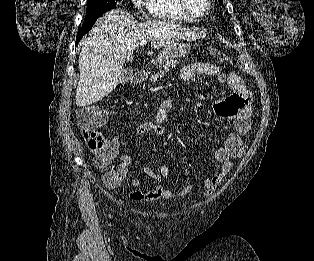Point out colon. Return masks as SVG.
Returning a JSON list of instances; mask_svg holds the SVG:
<instances>
[{"instance_id":"obj_1","label":"colon","mask_w":314,"mask_h":261,"mask_svg":"<svg viewBox=\"0 0 314 261\" xmlns=\"http://www.w3.org/2000/svg\"><path fill=\"white\" fill-rule=\"evenodd\" d=\"M210 54L220 63L230 64L231 62L228 55L217 48H211ZM75 115L88 149L96 156L99 166H106L108 158L115 151V146L100 131V127L104 122L102 109L95 105L83 106L76 110ZM121 180L118 173L107 172L104 175V181L108 185H117Z\"/></svg>"}]
</instances>
